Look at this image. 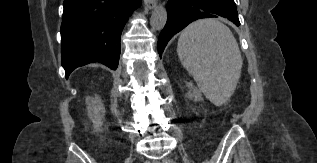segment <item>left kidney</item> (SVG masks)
Returning a JSON list of instances; mask_svg holds the SVG:
<instances>
[{
  "label": "left kidney",
  "instance_id": "obj_1",
  "mask_svg": "<svg viewBox=\"0 0 317 163\" xmlns=\"http://www.w3.org/2000/svg\"><path fill=\"white\" fill-rule=\"evenodd\" d=\"M189 91H188V98L192 99L194 98L196 101H201L203 100L202 93L200 89H197L194 87L192 82H187L186 83Z\"/></svg>",
  "mask_w": 317,
  "mask_h": 163
}]
</instances>
